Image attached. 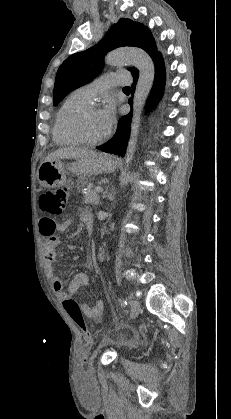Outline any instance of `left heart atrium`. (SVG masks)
<instances>
[{"label":"left heart atrium","instance_id":"39dd6f15","mask_svg":"<svg viewBox=\"0 0 231 419\" xmlns=\"http://www.w3.org/2000/svg\"><path fill=\"white\" fill-rule=\"evenodd\" d=\"M100 114L107 131L110 130L115 121V107L113 102H107L106 105L100 110Z\"/></svg>","mask_w":231,"mask_h":419}]
</instances>
